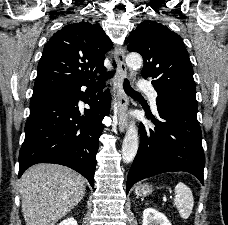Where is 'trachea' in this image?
<instances>
[{
    "label": "trachea",
    "instance_id": "1",
    "mask_svg": "<svg viewBox=\"0 0 228 225\" xmlns=\"http://www.w3.org/2000/svg\"><path fill=\"white\" fill-rule=\"evenodd\" d=\"M113 66L116 67V63L115 62H113ZM112 76H113V72H107V73L101 75L100 79L101 80H106L108 78H111ZM123 86H124V90H125V92L127 94H129V95H140V94H138V92H136L135 90H133V88L130 87V84H129L128 80H124V85ZM100 87H104V84L102 83L100 85Z\"/></svg>",
    "mask_w": 228,
    "mask_h": 225
}]
</instances>
